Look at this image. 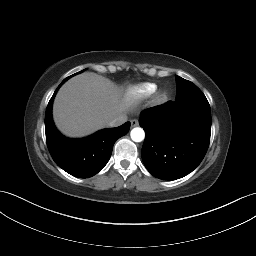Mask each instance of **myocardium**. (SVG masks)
Here are the masks:
<instances>
[{"instance_id":"1","label":"myocardium","mask_w":256,"mask_h":256,"mask_svg":"<svg viewBox=\"0 0 256 256\" xmlns=\"http://www.w3.org/2000/svg\"><path fill=\"white\" fill-rule=\"evenodd\" d=\"M167 98V93L166 92H160L157 96V101L158 102H163Z\"/></svg>"}]
</instances>
